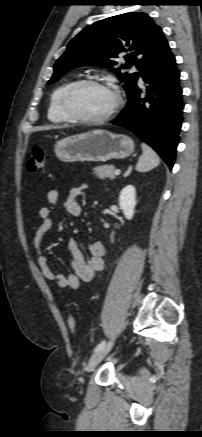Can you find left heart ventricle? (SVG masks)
<instances>
[{
    "label": "left heart ventricle",
    "instance_id": "left-heart-ventricle-1",
    "mask_svg": "<svg viewBox=\"0 0 202 437\" xmlns=\"http://www.w3.org/2000/svg\"><path fill=\"white\" fill-rule=\"evenodd\" d=\"M114 101L111 91L96 86H84L73 94L70 105L81 116L100 117L112 108Z\"/></svg>",
    "mask_w": 202,
    "mask_h": 437
}]
</instances>
